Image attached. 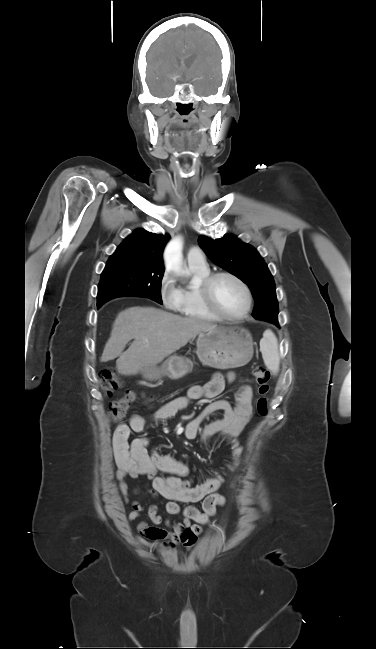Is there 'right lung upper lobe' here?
Here are the masks:
<instances>
[{
	"label": "right lung upper lobe",
	"mask_w": 376,
	"mask_h": 649,
	"mask_svg": "<svg viewBox=\"0 0 376 649\" xmlns=\"http://www.w3.org/2000/svg\"><path fill=\"white\" fill-rule=\"evenodd\" d=\"M170 235H158L143 229L135 230L118 246L111 257H133L145 260L151 270H164L162 254Z\"/></svg>",
	"instance_id": "obj_1"
}]
</instances>
